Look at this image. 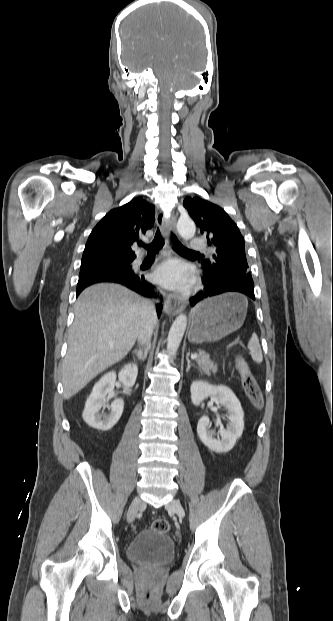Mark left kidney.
<instances>
[{
    "label": "left kidney",
    "mask_w": 333,
    "mask_h": 621,
    "mask_svg": "<svg viewBox=\"0 0 333 621\" xmlns=\"http://www.w3.org/2000/svg\"><path fill=\"white\" fill-rule=\"evenodd\" d=\"M208 397L227 410L229 423L226 429H219L221 440H217L213 437L214 432L210 430L209 418L203 416L198 421V436L211 451L217 453L228 452L234 447L236 440L243 433L244 412L241 403L233 391L226 386H215L204 381L192 383L191 400L194 405H199Z\"/></svg>",
    "instance_id": "5707ae66"
}]
</instances>
